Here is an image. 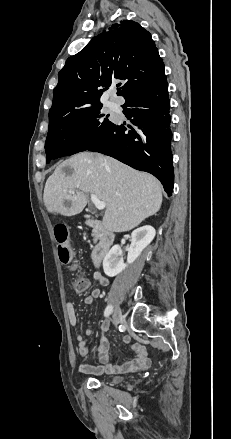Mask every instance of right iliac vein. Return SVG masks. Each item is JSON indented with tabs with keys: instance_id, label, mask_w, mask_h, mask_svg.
Returning <instances> with one entry per match:
<instances>
[{
	"instance_id": "63e3f726",
	"label": "right iliac vein",
	"mask_w": 231,
	"mask_h": 439,
	"mask_svg": "<svg viewBox=\"0 0 231 439\" xmlns=\"http://www.w3.org/2000/svg\"><path fill=\"white\" fill-rule=\"evenodd\" d=\"M122 320V313H121V309L117 306L114 309L113 312V324L115 326H117Z\"/></svg>"
}]
</instances>
